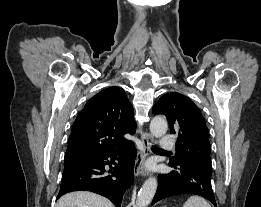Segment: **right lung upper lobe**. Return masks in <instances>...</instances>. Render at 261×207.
Listing matches in <instances>:
<instances>
[{
    "instance_id": "obj_1",
    "label": "right lung upper lobe",
    "mask_w": 261,
    "mask_h": 207,
    "mask_svg": "<svg viewBox=\"0 0 261 207\" xmlns=\"http://www.w3.org/2000/svg\"><path fill=\"white\" fill-rule=\"evenodd\" d=\"M134 110L123 89L110 87L93 96L78 114L69 136L64 163L90 159L131 142Z\"/></svg>"
}]
</instances>
